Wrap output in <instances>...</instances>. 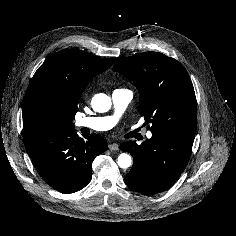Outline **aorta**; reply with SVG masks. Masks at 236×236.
<instances>
[{"label":"aorta","mask_w":236,"mask_h":236,"mask_svg":"<svg viewBox=\"0 0 236 236\" xmlns=\"http://www.w3.org/2000/svg\"><path fill=\"white\" fill-rule=\"evenodd\" d=\"M92 108L96 112H107L111 108V99L105 94H98L92 100ZM131 156L126 153H122L118 156L119 167L126 169L131 165Z\"/></svg>","instance_id":"obj_1"}]
</instances>
